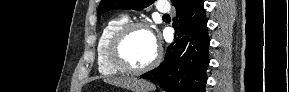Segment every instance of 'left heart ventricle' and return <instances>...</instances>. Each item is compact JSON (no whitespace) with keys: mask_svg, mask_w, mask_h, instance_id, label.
<instances>
[{"mask_svg":"<svg viewBox=\"0 0 289 92\" xmlns=\"http://www.w3.org/2000/svg\"><path fill=\"white\" fill-rule=\"evenodd\" d=\"M155 53L156 46L147 29H136L132 31L123 46L125 59L136 67L149 63Z\"/></svg>","mask_w":289,"mask_h":92,"instance_id":"left-heart-ventricle-1","label":"left heart ventricle"}]
</instances>
